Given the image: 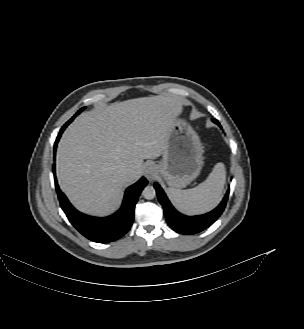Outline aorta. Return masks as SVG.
<instances>
[{
  "label": "aorta",
  "mask_w": 304,
  "mask_h": 329,
  "mask_svg": "<svg viewBox=\"0 0 304 329\" xmlns=\"http://www.w3.org/2000/svg\"><path fill=\"white\" fill-rule=\"evenodd\" d=\"M142 195L145 199L151 200L155 197L156 191L153 186H146L142 191Z\"/></svg>",
  "instance_id": "1"
}]
</instances>
